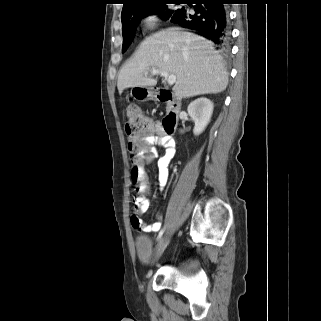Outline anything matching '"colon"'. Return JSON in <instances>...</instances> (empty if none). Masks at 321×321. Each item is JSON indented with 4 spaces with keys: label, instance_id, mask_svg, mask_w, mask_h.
I'll return each instance as SVG.
<instances>
[{
    "label": "colon",
    "instance_id": "colon-1",
    "mask_svg": "<svg viewBox=\"0 0 321 321\" xmlns=\"http://www.w3.org/2000/svg\"><path fill=\"white\" fill-rule=\"evenodd\" d=\"M125 132L129 139V152L131 160L133 162V168L131 172L132 180L137 185V197L149 198L150 192L145 185L146 172L142 165L141 153L146 150L140 139L143 135H147L151 132L152 122L141 111V109L135 105H130L126 109L125 113ZM134 221L139 219V213L135 212L131 215Z\"/></svg>",
    "mask_w": 321,
    "mask_h": 321
}]
</instances>
